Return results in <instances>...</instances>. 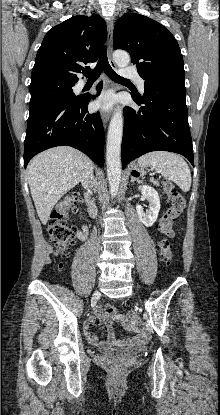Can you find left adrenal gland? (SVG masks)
Returning a JSON list of instances; mask_svg holds the SVG:
<instances>
[{
  "label": "left adrenal gland",
  "instance_id": "1",
  "mask_svg": "<svg viewBox=\"0 0 220 415\" xmlns=\"http://www.w3.org/2000/svg\"><path fill=\"white\" fill-rule=\"evenodd\" d=\"M138 181L135 177L131 176V182Z\"/></svg>",
  "mask_w": 220,
  "mask_h": 415
}]
</instances>
